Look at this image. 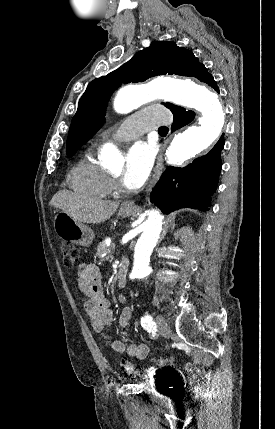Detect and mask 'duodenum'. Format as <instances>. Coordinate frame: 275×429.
Masks as SVG:
<instances>
[{
  "mask_svg": "<svg viewBox=\"0 0 275 429\" xmlns=\"http://www.w3.org/2000/svg\"><path fill=\"white\" fill-rule=\"evenodd\" d=\"M127 268L128 265L125 261H122L117 270V284L120 288L126 285L127 280Z\"/></svg>",
  "mask_w": 275,
  "mask_h": 429,
  "instance_id": "duodenum-1",
  "label": "duodenum"
}]
</instances>
